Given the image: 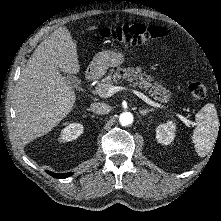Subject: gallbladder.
Returning <instances> with one entry per match:
<instances>
[{
  "label": "gallbladder",
  "instance_id": "obj_1",
  "mask_svg": "<svg viewBox=\"0 0 221 221\" xmlns=\"http://www.w3.org/2000/svg\"><path fill=\"white\" fill-rule=\"evenodd\" d=\"M65 79L73 87H77L80 83L79 80L73 75H67Z\"/></svg>",
  "mask_w": 221,
  "mask_h": 221
}]
</instances>
